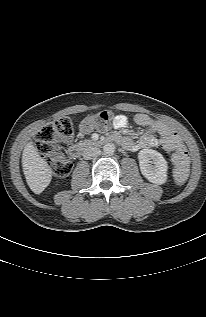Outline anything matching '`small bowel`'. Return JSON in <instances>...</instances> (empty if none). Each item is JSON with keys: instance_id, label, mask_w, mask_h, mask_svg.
Masks as SVG:
<instances>
[{"instance_id": "1", "label": "small bowel", "mask_w": 206, "mask_h": 317, "mask_svg": "<svg viewBox=\"0 0 206 317\" xmlns=\"http://www.w3.org/2000/svg\"><path fill=\"white\" fill-rule=\"evenodd\" d=\"M134 122L140 126L146 127V132L134 143L130 138H122V145L130 150L136 151L141 148L157 147L159 140L156 135L161 136L162 140L172 134H175L166 124L151 118L149 115L139 113L134 116ZM128 125V118L125 115H117L113 121L115 129H123Z\"/></svg>"}]
</instances>
